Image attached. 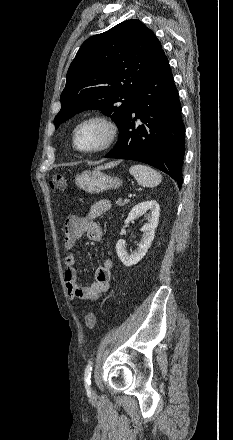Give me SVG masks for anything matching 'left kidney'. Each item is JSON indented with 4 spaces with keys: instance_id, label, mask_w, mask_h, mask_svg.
I'll return each mask as SVG.
<instances>
[{
    "instance_id": "left-kidney-1",
    "label": "left kidney",
    "mask_w": 233,
    "mask_h": 440,
    "mask_svg": "<svg viewBox=\"0 0 233 440\" xmlns=\"http://www.w3.org/2000/svg\"><path fill=\"white\" fill-rule=\"evenodd\" d=\"M146 211H150L147 215L148 223L141 228L143 235L137 249L129 255L126 251L125 240L119 239L116 244L117 255L123 265L127 267L137 264L150 248L159 221L160 206L155 200L141 202L132 208L128 217L124 221L125 224H128Z\"/></svg>"
}]
</instances>
